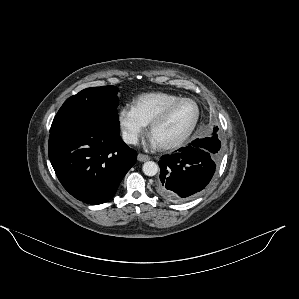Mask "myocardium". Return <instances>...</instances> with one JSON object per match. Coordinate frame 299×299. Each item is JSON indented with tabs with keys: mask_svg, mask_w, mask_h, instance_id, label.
I'll return each instance as SVG.
<instances>
[{
	"mask_svg": "<svg viewBox=\"0 0 299 299\" xmlns=\"http://www.w3.org/2000/svg\"><path fill=\"white\" fill-rule=\"evenodd\" d=\"M183 101H191L192 103H194V105L196 107V116L194 118V121L191 124L190 128L182 136H180L179 138H177L171 142L160 144L159 147L163 150H171V149L180 147L193 134V132L195 131V129L199 123V120L201 117V108H200L199 103L191 97H180L177 100L169 103L166 107H164L163 110L152 120V122L150 123V128H149L150 135L152 136L154 130L161 123H163L167 119L169 114L172 112V110L176 106H178L180 103H182Z\"/></svg>",
	"mask_w": 299,
	"mask_h": 299,
	"instance_id": "myocardium-1",
	"label": "myocardium"
}]
</instances>
